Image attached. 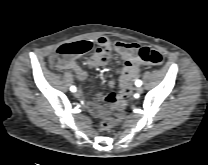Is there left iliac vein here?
<instances>
[{
  "label": "left iliac vein",
  "mask_w": 208,
  "mask_h": 165,
  "mask_svg": "<svg viewBox=\"0 0 208 165\" xmlns=\"http://www.w3.org/2000/svg\"><path fill=\"white\" fill-rule=\"evenodd\" d=\"M136 92L139 93V94H141V93L143 92V88L140 87V86H138V87L136 88Z\"/></svg>",
  "instance_id": "4c4485c4"
}]
</instances>
